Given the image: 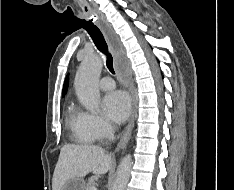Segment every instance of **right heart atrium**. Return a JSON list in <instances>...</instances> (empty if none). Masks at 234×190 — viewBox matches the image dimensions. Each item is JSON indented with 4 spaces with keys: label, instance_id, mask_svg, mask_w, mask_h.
<instances>
[{
    "label": "right heart atrium",
    "instance_id": "right-heart-atrium-1",
    "mask_svg": "<svg viewBox=\"0 0 234 190\" xmlns=\"http://www.w3.org/2000/svg\"><path fill=\"white\" fill-rule=\"evenodd\" d=\"M82 118L97 140H104L112 135L113 127L104 117L96 113L82 112Z\"/></svg>",
    "mask_w": 234,
    "mask_h": 190
}]
</instances>
